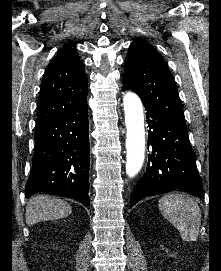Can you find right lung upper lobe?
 Wrapping results in <instances>:
<instances>
[{"mask_svg": "<svg viewBox=\"0 0 221 271\" xmlns=\"http://www.w3.org/2000/svg\"><path fill=\"white\" fill-rule=\"evenodd\" d=\"M87 106V77L84 64L66 44L44 73L37 105L36 122L47 121Z\"/></svg>", "mask_w": 221, "mask_h": 271, "instance_id": "obj_1", "label": "right lung upper lobe"}]
</instances>
